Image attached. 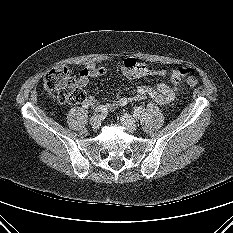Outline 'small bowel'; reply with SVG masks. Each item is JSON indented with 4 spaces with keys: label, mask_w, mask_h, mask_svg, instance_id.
I'll list each match as a JSON object with an SVG mask.
<instances>
[{
    "label": "small bowel",
    "mask_w": 233,
    "mask_h": 233,
    "mask_svg": "<svg viewBox=\"0 0 233 233\" xmlns=\"http://www.w3.org/2000/svg\"><path fill=\"white\" fill-rule=\"evenodd\" d=\"M109 72V68L104 66H95L90 64L81 70L78 78V86L86 89L91 78L104 76ZM121 74L129 80H138L145 77H161L168 78L172 87L159 83L155 86L140 85L136 89V93L132 96H123L118 99L109 101L106 105L108 110H115L118 107H123L131 102L141 99L149 98L159 105L170 103L176 95V90L182 78L181 68L175 67L170 70L152 69L147 64L136 61L132 57H126L120 66ZM85 105L94 107L98 104V100L93 95H87L85 98Z\"/></svg>",
    "instance_id": "small-bowel-1"
}]
</instances>
